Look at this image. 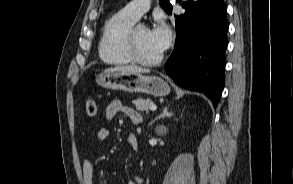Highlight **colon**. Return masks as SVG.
Listing matches in <instances>:
<instances>
[{"mask_svg": "<svg viewBox=\"0 0 293 184\" xmlns=\"http://www.w3.org/2000/svg\"><path fill=\"white\" fill-rule=\"evenodd\" d=\"M86 113L89 117H94L97 113V104L94 99H89L86 102Z\"/></svg>", "mask_w": 293, "mask_h": 184, "instance_id": "5ec220e1", "label": "colon"}]
</instances>
